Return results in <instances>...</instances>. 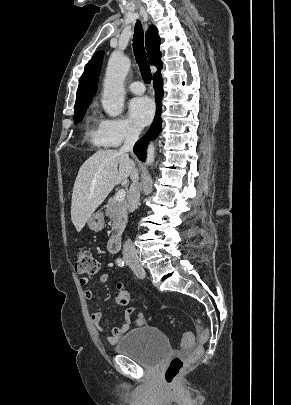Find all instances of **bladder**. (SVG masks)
<instances>
[{"mask_svg": "<svg viewBox=\"0 0 291 405\" xmlns=\"http://www.w3.org/2000/svg\"><path fill=\"white\" fill-rule=\"evenodd\" d=\"M115 350L144 368L154 369L169 354L170 345L167 336L160 329L145 325L124 335L116 344Z\"/></svg>", "mask_w": 291, "mask_h": 405, "instance_id": "obj_1", "label": "bladder"}]
</instances>
